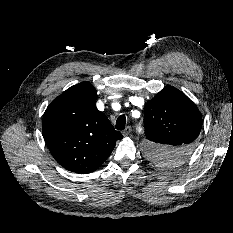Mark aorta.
<instances>
[{
    "mask_svg": "<svg viewBox=\"0 0 233 233\" xmlns=\"http://www.w3.org/2000/svg\"><path fill=\"white\" fill-rule=\"evenodd\" d=\"M139 133H142V128H139Z\"/></svg>",
    "mask_w": 233,
    "mask_h": 233,
    "instance_id": "762f6f07",
    "label": "aorta"
}]
</instances>
